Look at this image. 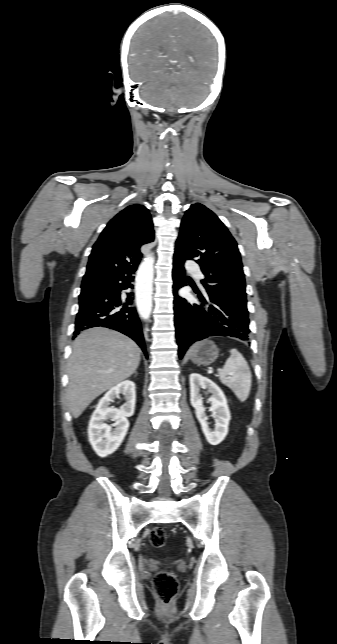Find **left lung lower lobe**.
Returning <instances> with one entry per match:
<instances>
[{
	"label": "left lung lower lobe",
	"mask_w": 337,
	"mask_h": 644,
	"mask_svg": "<svg viewBox=\"0 0 337 644\" xmlns=\"http://www.w3.org/2000/svg\"><path fill=\"white\" fill-rule=\"evenodd\" d=\"M184 262L174 257L173 289L176 338L179 357L182 358L188 347L209 336H229L249 341V318L224 297L204 290H195L199 303H189L177 294L185 286Z\"/></svg>",
	"instance_id": "0a47b994"
}]
</instances>
